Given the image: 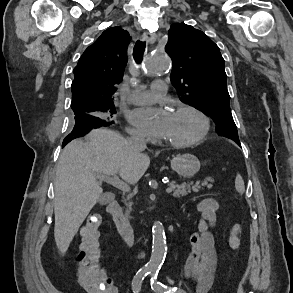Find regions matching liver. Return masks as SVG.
<instances>
[{"instance_id": "obj_1", "label": "liver", "mask_w": 293, "mask_h": 293, "mask_svg": "<svg viewBox=\"0 0 293 293\" xmlns=\"http://www.w3.org/2000/svg\"><path fill=\"white\" fill-rule=\"evenodd\" d=\"M150 159L134 150L129 141L107 129L92 130L85 140L71 141L62 151L55 180L57 248L64 254L85 218L100 199L99 175L118 174L128 183L144 175Z\"/></svg>"}]
</instances>
